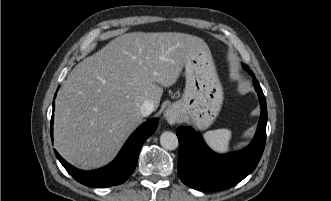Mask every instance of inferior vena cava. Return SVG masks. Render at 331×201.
I'll list each match as a JSON object with an SVG mask.
<instances>
[{
  "mask_svg": "<svg viewBox=\"0 0 331 201\" xmlns=\"http://www.w3.org/2000/svg\"><path fill=\"white\" fill-rule=\"evenodd\" d=\"M154 111V104L150 100H145L141 106L142 116L147 117Z\"/></svg>",
  "mask_w": 331,
  "mask_h": 201,
  "instance_id": "1",
  "label": "inferior vena cava"
}]
</instances>
